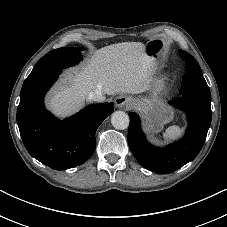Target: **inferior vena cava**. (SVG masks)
Here are the masks:
<instances>
[{"label": "inferior vena cava", "instance_id": "obj_1", "mask_svg": "<svg viewBox=\"0 0 227 227\" xmlns=\"http://www.w3.org/2000/svg\"><path fill=\"white\" fill-rule=\"evenodd\" d=\"M88 99L96 102H104L105 96L100 91L96 90L89 93Z\"/></svg>", "mask_w": 227, "mask_h": 227}]
</instances>
